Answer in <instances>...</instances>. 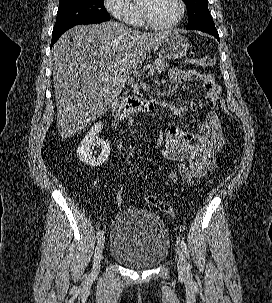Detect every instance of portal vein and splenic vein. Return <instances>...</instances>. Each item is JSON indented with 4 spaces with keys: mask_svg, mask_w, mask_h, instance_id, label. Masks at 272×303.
Masks as SVG:
<instances>
[{
    "mask_svg": "<svg viewBox=\"0 0 272 303\" xmlns=\"http://www.w3.org/2000/svg\"><path fill=\"white\" fill-rule=\"evenodd\" d=\"M154 74V69H150L149 71H148V76H152ZM103 80H105V81H107V78L106 77H103L102 78Z\"/></svg>",
    "mask_w": 272,
    "mask_h": 303,
    "instance_id": "obj_1",
    "label": "portal vein and splenic vein"
}]
</instances>
